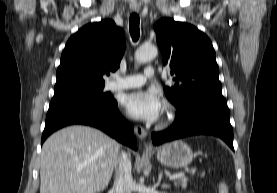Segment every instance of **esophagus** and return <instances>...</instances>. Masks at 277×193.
<instances>
[{
    "label": "esophagus",
    "mask_w": 277,
    "mask_h": 193,
    "mask_svg": "<svg viewBox=\"0 0 277 193\" xmlns=\"http://www.w3.org/2000/svg\"><path fill=\"white\" fill-rule=\"evenodd\" d=\"M130 9L133 12H139L140 6L136 2H132V3H130ZM134 131H135V134L137 135V137L140 140H144L145 139V137L147 135V132H146V130L142 126H135Z\"/></svg>",
    "instance_id": "obj_1"
}]
</instances>
